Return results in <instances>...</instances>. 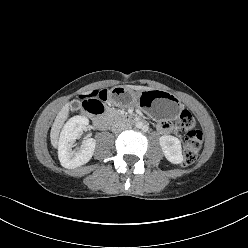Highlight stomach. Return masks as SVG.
I'll return each mask as SVG.
<instances>
[{
  "label": "stomach",
  "instance_id": "0dacf381",
  "mask_svg": "<svg viewBox=\"0 0 248 248\" xmlns=\"http://www.w3.org/2000/svg\"><path fill=\"white\" fill-rule=\"evenodd\" d=\"M113 90L115 102L119 106L128 107L137 103L139 109L146 111L153 119H172L181 110L179 99L166 91L151 89L135 93L125 86Z\"/></svg>",
  "mask_w": 248,
  "mask_h": 248
}]
</instances>
